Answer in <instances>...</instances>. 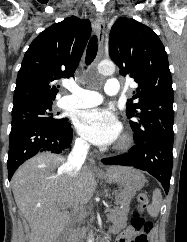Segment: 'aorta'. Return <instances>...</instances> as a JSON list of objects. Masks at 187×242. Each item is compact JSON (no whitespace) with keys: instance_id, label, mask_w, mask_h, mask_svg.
I'll return each mask as SVG.
<instances>
[{"instance_id":"aorta-1","label":"aorta","mask_w":187,"mask_h":242,"mask_svg":"<svg viewBox=\"0 0 187 242\" xmlns=\"http://www.w3.org/2000/svg\"><path fill=\"white\" fill-rule=\"evenodd\" d=\"M97 70L102 75H112L115 71V65L111 61H101L98 64Z\"/></svg>"}]
</instances>
